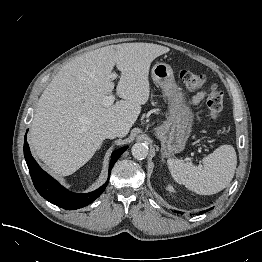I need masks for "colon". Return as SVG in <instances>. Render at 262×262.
Wrapping results in <instances>:
<instances>
[{"label": "colon", "mask_w": 262, "mask_h": 262, "mask_svg": "<svg viewBox=\"0 0 262 262\" xmlns=\"http://www.w3.org/2000/svg\"><path fill=\"white\" fill-rule=\"evenodd\" d=\"M180 78L190 91L202 90L207 84V79L203 74L190 70L181 71ZM205 103L209 118L212 121L216 120L223 109L224 93L216 85H211Z\"/></svg>", "instance_id": "colon-1"}]
</instances>
